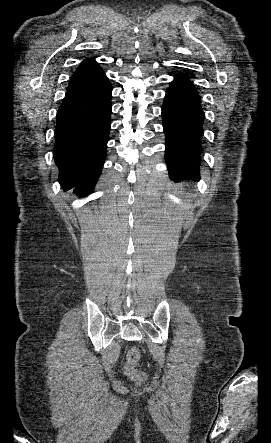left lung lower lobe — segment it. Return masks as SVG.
I'll return each mask as SVG.
<instances>
[{"instance_id":"left-lung-lower-lobe-1","label":"left lung lower lobe","mask_w":271,"mask_h":443,"mask_svg":"<svg viewBox=\"0 0 271 443\" xmlns=\"http://www.w3.org/2000/svg\"><path fill=\"white\" fill-rule=\"evenodd\" d=\"M162 118L170 178L198 180L204 112L199 93L182 73L175 75L166 91Z\"/></svg>"}]
</instances>
